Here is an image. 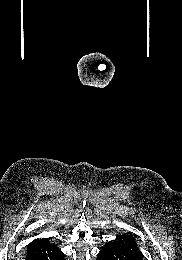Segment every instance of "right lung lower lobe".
Listing matches in <instances>:
<instances>
[{
    "label": "right lung lower lobe",
    "instance_id": "1",
    "mask_svg": "<svg viewBox=\"0 0 182 260\" xmlns=\"http://www.w3.org/2000/svg\"><path fill=\"white\" fill-rule=\"evenodd\" d=\"M25 260H64V254L49 241L30 244Z\"/></svg>",
    "mask_w": 182,
    "mask_h": 260
}]
</instances>
